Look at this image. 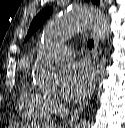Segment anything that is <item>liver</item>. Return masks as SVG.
Returning <instances> with one entry per match:
<instances>
[{"mask_svg": "<svg viewBox=\"0 0 125 128\" xmlns=\"http://www.w3.org/2000/svg\"><path fill=\"white\" fill-rule=\"evenodd\" d=\"M16 127L17 128H31L33 126H30L29 124H23V123H21V124H16Z\"/></svg>", "mask_w": 125, "mask_h": 128, "instance_id": "6515ba94", "label": "liver"}]
</instances>
